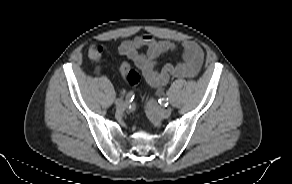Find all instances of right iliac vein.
<instances>
[{
	"mask_svg": "<svg viewBox=\"0 0 292 184\" xmlns=\"http://www.w3.org/2000/svg\"><path fill=\"white\" fill-rule=\"evenodd\" d=\"M115 105L117 109L122 110L127 106V102L124 101L123 99L119 98L115 100Z\"/></svg>",
	"mask_w": 292,
	"mask_h": 184,
	"instance_id": "obj_1",
	"label": "right iliac vein"
}]
</instances>
